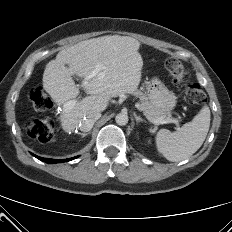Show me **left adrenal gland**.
Listing matches in <instances>:
<instances>
[{"instance_id":"a2214340","label":"left adrenal gland","mask_w":232,"mask_h":232,"mask_svg":"<svg viewBox=\"0 0 232 232\" xmlns=\"http://www.w3.org/2000/svg\"><path fill=\"white\" fill-rule=\"evenodd\" d=\"M134 117L136 119V124L138 125L140 122H146L145 120H143L140 116H137L136 114H134Z\"/></svg>"}]
</instances>
